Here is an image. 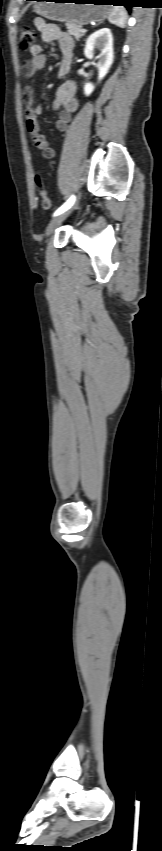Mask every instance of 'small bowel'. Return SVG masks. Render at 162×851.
<instances>
[{"label": "small bowel", "instance_id": "1", "mask_svg": "<svg viewBox=\"0 0 162 851\" xmlns=\"http://www.w3.org/2000/svg\"><path fill=\"white\" fill-rule=\"evenodd\" d=\"M35 26L41 32L43 41L56 42L58 44L62 52L59 76H64L69 70L72 57L73 40L71 36L61 30L56 24L47 23L42 18L35 20ZM29 51L32 57L23 64V73L26 78H31L35 72L42 69L46 61L40 45L35 44ZM23 100L25 104L26 128L31 135L33 145L42 153L44 158L51 159L55 156L56 151L50 145L48 139L40 132L39 118L42 115V108L34 104V91L30 85L24 88ZM77 108L76 84L73 81H66L58 87L52 103V109L59 111L56 122V128L59 131L64 132L67 130L72 119V114Z\"/></svg>", "mask_w": 162, "mask_h": 851}]
</instances>
